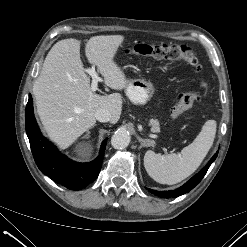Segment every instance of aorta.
Here are the masks:
<instances>
[{
	"instance_id": "obj_1",
	"label": "aorta",
	"mask_w": 247,
	"mask_h": 247,
	"mask_svg": "<svg viewBox=\"0 0 247 247\" xmlns=\"http://www.w3.org/2000/svg\"><path fill=\"white\" fill-rule=\"evenodd\" d=\"M130 134L125 130L116 131L111 137V145L115 149H124L130 143Z\"/></svg>"
}]
</instances>
